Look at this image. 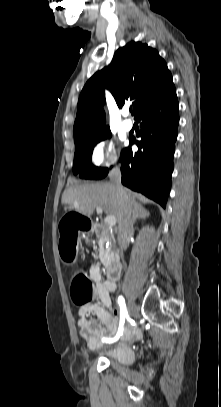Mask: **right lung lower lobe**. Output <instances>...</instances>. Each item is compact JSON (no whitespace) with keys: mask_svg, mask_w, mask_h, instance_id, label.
<instances>
[{"mask_svg":"<svg viewBox=\"0 0 221 407\" xmlns=\"http://www.w3.org/2000/svg\"><path fill=\"white\" fill-rule=\"evenodd\" d=\"M141 131L139 150L121 154L122 184L141 192L165 208L171 186L173 155L179 123L175 87L138 113ZM134 140H130L133 144Z\"/></svg>","mask_w":221,"mask_h":407,"instance_id":"obj_1","label":"right lung lower lobe"}]
</instances>
